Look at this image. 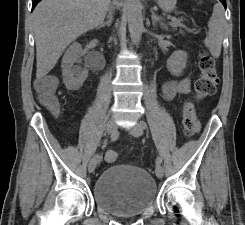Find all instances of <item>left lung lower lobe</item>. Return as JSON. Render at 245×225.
I'll return each instance as SVG.
<instances>
[{"mask_svg": "<svg viewBox=\"0 0 245 225\" xmlns=\"http://www.w3.org/2000/svg\"><path fill=\"white\" fill-rule=\"evenodd\" d=\"M220 2L224 5V7L226 8V0H220Z\"/></svg>", "mask_w": 245, "mask_h": 225, "instance_id": "0a47b994", "label": "left lung lower lobe"}]
</instances>
